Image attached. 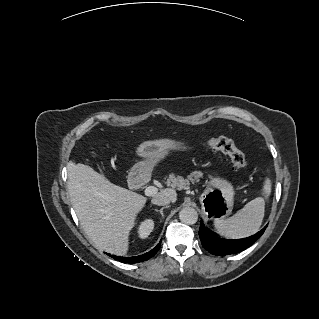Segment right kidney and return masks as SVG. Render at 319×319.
I'll return each instance as SVG.
<instances>
[{"label": "right kidney", "instance_id": "ca27d5eb", "mask_svg": "<svg viewBox=\"0 0 319 319\" xmlns=\"http://www.w3.org/2000/svg\"><path fill=\"white\" fill-rule=\"evenodd\" d=\"M154 229V221L152 219H145L140 223L137 229L138 237L146 239Z\"/></svg>", "mask_w": 319, "mask_h": 319}]
</instances>
